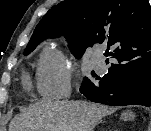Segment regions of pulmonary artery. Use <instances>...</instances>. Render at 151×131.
<instances>
[{
  "label": "pulmonary artery",
  "instance_id": "e3ab8cb5",
  "mask_svg": "<svg viewBox=\"0 0 151 131\" xmlns=\"http://www.w3.org/2000/svg\"><path fill=\"white\" fill-rule=\"evenodd\" d=\"M98 56H99V54H98ZM96 63H97V67L99 69H103L105 67L104 62L101 59H99Z\"/></svg>",
  "mask_w": 151,
  "mask_h": 131
}]
</instances>
